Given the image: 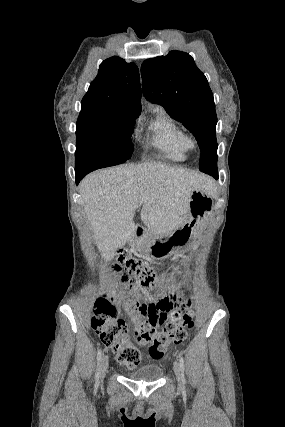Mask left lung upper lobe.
Listing matches in <instances>:
<instances>
[{
	"label": "left lung upper lobe",
	"mask_w": 285,
	"mask_h": 427,
	"mask_svg": "<svg viewBox=\"0 0 285 427\" xmlns=\"http://www.w3.org/2000/svg\"><path fill=\"white\" fill-rule=\"evenodd\" d=\"M141 76L146 99L162 105L195 136L201 150L199 169L216 178L218 144L214 98L192 56L171 51L166 56L147 59L141 66Z\"/></svg>",
	"instance_id": "5c2ea615"
}]
</instances>
